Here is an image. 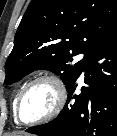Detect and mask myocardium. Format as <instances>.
<instances>
[{"label": "myocardium", "mask_w": 117, "mask_h": 136, "mask_svg": "<svg viewBox=\"0 0 117 136\" xmlns=\"http://www.w3.org/2000/svg\"><path fill=\"white\" fill-rule=\"evenodd\" d=\"M39 83H48L54 88L55 93H56L55 105L53 109L45 116L40 117L35 120H31V121H23L20 117V105H21L22 99L24 95L33 86ZM66 100H67V88H66V85L63 79L59 75L55 73H45V74L39 75L35 77L34 79H32L31 81H29L20 90L17 96L16 104H15V118L19 123L24 124V125H35V124L48 122L59 115V113L62 111V109L65 106Z\"/></svg>", "instance_id": "obj_1"}]
</instances>
